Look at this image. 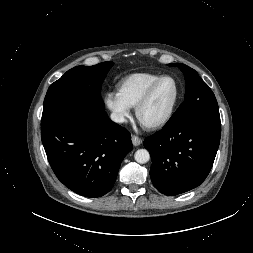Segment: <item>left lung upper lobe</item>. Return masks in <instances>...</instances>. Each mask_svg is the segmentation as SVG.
I'll return each instance as SVG.
<instances>
[{
    "mask_svg": "<svg viewBox=\"0 0 253 253\" xmlns=\"http://www.w3.org/2000/svg\"><path fill=\"white\" fill-rule=\"evenodd\" d=\"M178 67L185 76V100L164 127H173L195 119L220 120L219 108L212 90L199 77L197 72L181 63L169 64Z\"/></svg>",
    "mask_w": 253,
    "mask_h": 253,
    "instance_id": "1",
    "label": "left lung upper lobe"
}]
</instances>
